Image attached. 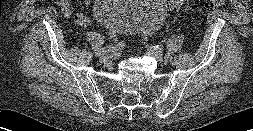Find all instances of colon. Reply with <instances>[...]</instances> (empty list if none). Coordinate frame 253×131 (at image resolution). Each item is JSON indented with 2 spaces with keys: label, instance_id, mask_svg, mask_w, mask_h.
I'll use <instances>...</instances> for the list:
<instances>
[{
  "label": "colon",
  "instance_id": "5ec220e1",
  "mask_svg": "<svg viewBox=\"0 0 253 131\" xmlns=\"http://www.w3.org/2000/svg\"><path fill=\"white\" fill-rule=\"evenodd\" d=\"M188 0H169V5L172 9L178 10L180 9ZM226 3L225 0H209L210 7H222ZM108 36L112 41L117 40V33L115 31L110 30L108 32Z\"/></svg>",
  "mask_w": 253,
  "mask_h": 131
}]
</instances>
